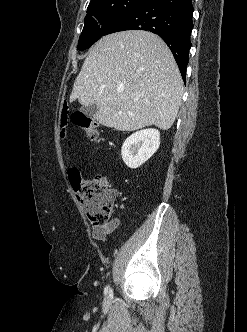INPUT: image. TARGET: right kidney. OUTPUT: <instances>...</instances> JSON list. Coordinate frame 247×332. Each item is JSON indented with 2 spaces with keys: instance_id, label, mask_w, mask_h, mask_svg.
Returning a JSON list of instances; mask_svg holds the SVG:
<instances>
[{
  "instance_id": "ca27d5eb",
  "label": "right kidney",
  "mask_w": 247,
  "mask_h": 332,
  "mask_svg": "<svg viewBox=\"0 0 247 332\" xmlns=\"http://www.w3.org/2000/svg\"><path fill=\"white\" fill-rule=\"evenodd\" d=\"M160 132L144 129L131 134L123 143L121 155L124 163L136 169L145 163L159 148Z\"/></svg>"
}]
</instances>
